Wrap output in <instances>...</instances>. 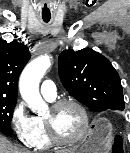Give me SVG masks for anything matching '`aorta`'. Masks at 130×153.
Masks as SVG:
<instances>
[{"instance_id": "1", "label": "aorta", "mask_w": 130, "mask_h": 153, "mask_svg": "<svg viewBox=\"0 0 130 153\" xmlns=\"http://www.w3.org/2000/svg\"><path fill=\"white\" fill-rule=\"evenodd\" d=\"M50 66V57L42 55L27 64L20 76L21 96L34 113L42 112L47 108L39 92V83Z\"/></svg>"}]
</instances>
